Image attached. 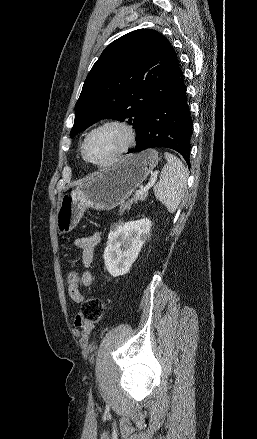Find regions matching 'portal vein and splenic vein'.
I'll list each match as a JSON object with an SVG mask.
<instances>
[{"instance_id": "1", "label": "portal vein and splenic vein", "mask_w": 257, "mask_h": 439, "mask_svg": "<svg viewBox=\"0 0 257 439\" xmlns=\"http://www.w3.org/2000/svg\"><path fill=\"white\" fill-rule=\"evenodd\" d=\"M156 180H157L156 177L151 178L148 185L145 187H141L138 191H136L135 195L139 196L144 194L150 187H152L155 184Z\"/></svg>"}]
</instances>
